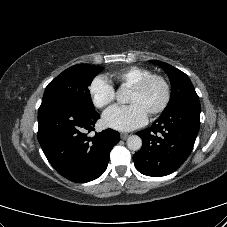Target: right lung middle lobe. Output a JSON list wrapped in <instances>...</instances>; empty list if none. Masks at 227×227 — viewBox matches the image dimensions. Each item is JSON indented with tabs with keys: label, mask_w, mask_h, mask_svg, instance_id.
I'll list each match as a JSON object with an SVG mask.
<instances>
[{
	"label": "right lung middle lobe",
	"mask_w": 227,
	"mask_h": 227,
	"mask_svg": "<svg viewBox=\"0 0 227 227\" xmlns=\"http://www.w3.org/2000/svg\"><path fill=\"white\" fill-rule=\"evenodd\" d=\"M103 69L89 64H78L66 69L47 85L41 104L62 100L95 111L88 87Z\"/></svg>",
	"instance_id": "1"
}]
</instances>
